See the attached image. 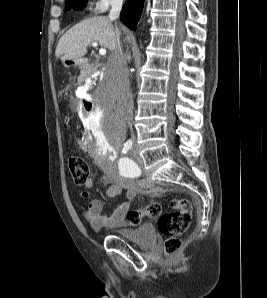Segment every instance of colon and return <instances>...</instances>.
Wrapping results in <instances>:
<instances>
[{
  "instance_id": "colon-1",
  "label": "colon",
  "mask_w": 267,
  "mask_h": 298,
  "mask_svg": "<svg viewBox=\"0 0 267 298\" xmlns=\"http://www.w3.org/2000/svg\"><path fill=\"white\" fill-rule=\"evenodd\" d=\"M68 167L77 185L83 186L89 181L90 171L85 160L70 156ZM144 218L158 220V229L166 238L164 252L166 255H173L180 250L182 246L180 237L191 224V203L187 199L176 198L170 202V209L164 212L161 203L151 202L142 209H132L126 214L127 223L130 226H138Z\"/></svg>"
}]
</instances>
